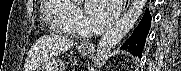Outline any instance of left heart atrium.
<instances>
[{
  "mask_svg": "<svg viewBox=\"0 0 181 71\" xmlns=\"http://www.w3.org/2000/svg\"><path fill=\"white\" fill-rule=\"evenodd\" d=\"M120 4L119 0L92 1L87 7V12L94 22L108 24L119 13Z\"/></svg>",
  "mask_w": 181,
  "mask_h": 71,
  "instance_id": "left-heart-atrium-1",
  "label": "left heart atrium"
}]
</instances>
